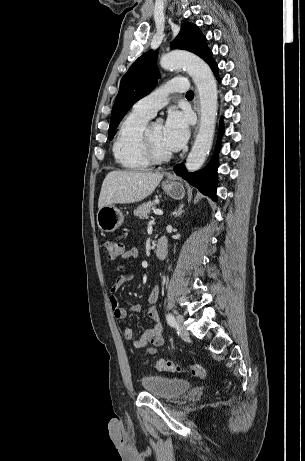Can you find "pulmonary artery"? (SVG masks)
I'll use <instances>...</instances> for the list:
<instances>
[{
    "label": "pulmonary artery",
    "mask_w": 305,
    "mask_h": 461,
    "mask_svg": "<svg viewBox=\"0 0 305 461\" xmlns=\"http://www.w3.org/2000/svg\"><path fill=\"white\" fill-rule=\"evenodd\" d=\"M188 89L187 80L185 78H172L164 85L152 91L147 96L143 97L137 101L133 110L147 115L148 117H153L156 112L165 106L168 102V95L173 92H185Z\"/></svg>",
    "instance_id": "obj_1"
}]
</instances>
